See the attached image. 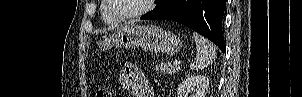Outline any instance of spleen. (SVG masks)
Segmentation results:
<instances>
[{"label":"spleen","mask_w":302,"mask_h":97,"mask_svg":"<svg viewBox=\"0 0 302 97\" xmlns=\"http://www.w3.org/2000/svg\"><path fill=\"white\" fill-rule=\"evenodd\" d=\"M193 38L196 43L197 53L193 63L190 64L191 70H203L216 59V48L206 38L198 33H193Z\"/></svg>","instance_id":"3e777b00"}]
</instances>
